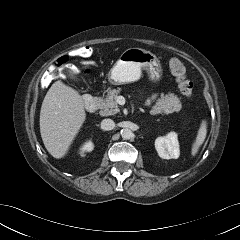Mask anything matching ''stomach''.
<instances>
[{
  "instance_id": "stomach-1",
  "label": "stomach",
  "mask_w": 240,
  "mask_h": 240,
  "mask_svg": "<svg viewBox=\"0 0 240 240\" xmlns=\"http://www.w3.org/2000/svg\"><path fill=\"white\" fill-rule=\"evenodd\" d=\"M142 70L148 73L153 83H158L163 74L160 60L150 51L141 48L126 49L109 72V81L122 85L138 81Z\"/></svg>"
}]
</instances>
